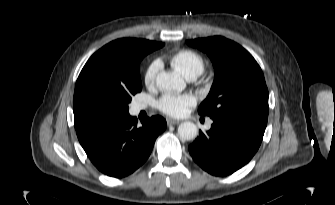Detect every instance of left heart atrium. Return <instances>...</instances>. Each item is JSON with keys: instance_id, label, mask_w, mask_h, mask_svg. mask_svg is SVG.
I'll return each mask as SVG.
<instances>
[{"instance_id": "1", "label": "left heart atrium", "mask_w": 335, "mask_h": 205, "mask_svg": "<svg viewBox=\"0 0 335 205\" xmlns=\"http://www.w3.org/2000/svg\"><path fill=\"white\" fill-rule=\"evenodd\" d=\"M196 103V97L191 93H166L157 102L158 108L167 115L181 117L189 107Z\"/></svg>"}]
</instances>
